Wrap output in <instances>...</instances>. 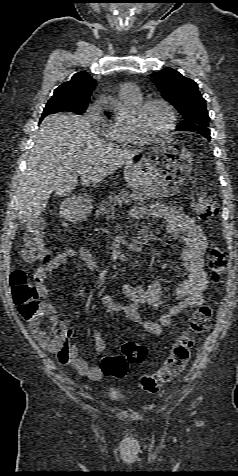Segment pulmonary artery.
Returning a JSON list of instances; mask_svg holds the SVG:
<instances>
[{
	"mask_svg": "<svg viewBox=\"0 0 238 476\" xmlns=\"http://www.w3.org/2000/svg\"><path fill=\"white\" fill-rule=\"evenodd\" d=\"M122 93L128 94V95H138L139 89L133 85V84H125L122 86L121 90Z\"/></svg>",
	"mask_w": 238,
	"mask_h": 476,
	"instance_id": "obj_1",
	"label": "pulmonary artery"
}]
</instances>
